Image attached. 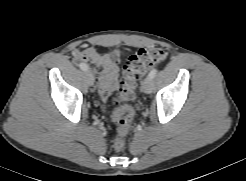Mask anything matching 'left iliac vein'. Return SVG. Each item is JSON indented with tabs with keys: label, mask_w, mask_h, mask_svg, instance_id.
I'll list each match as a JSON object with an SVG mask.
<instances>
[{
	"label": "left iliac vein",
	"mask_w": 246,
	"mask_h": 181,
	"mask_svg": "<svg viewBox=\"0 0 246 181\" xmlns=\"http://www.w3.org/2000/svg\"><path fill=\"white\" fill-rule=\"evenodd\" d=\"M152 88H153L152 78L148 76L143 80L141 84V90L144 93H150L152 91Z\"/></svg>",
	"instance_id": "obj_1"
}]
</instances>
